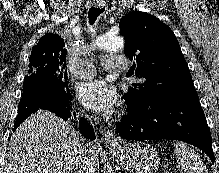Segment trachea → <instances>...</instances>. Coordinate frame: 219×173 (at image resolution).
Wrapping results in <instances>:
<instances>
[{"instance_id":"1","label":"trachea","mask_w":219,"mask_h":173,"mask_svg":"<svg viewBox=\"0 0 219 173\" xmlns=\"http://www.w3.org/2000/svg\"><path fill=\"white\" fill-rule=\"evenodd\" d=\"M105 10V8H95V7H91L89 9V13H88V18H89V23L90 25H93L97 19V17L103 13Z\"/></svg>"}]
</instances>
